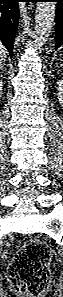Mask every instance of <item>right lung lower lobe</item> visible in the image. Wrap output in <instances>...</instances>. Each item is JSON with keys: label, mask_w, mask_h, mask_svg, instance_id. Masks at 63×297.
Returning <instances> with one entry per match:
<instances>
[{"label": "right lung lower lobe", "mask_w": 63, "mask_h": 297, "mask_svg": "<svg viewBox=\"0 0 63 297\" xmlns=\"http://www.w3.org/2000/svg\"><path fill=\"white\" fill-rule=\"evenodd\" d=\"M19 1L0 0V41L5 45L11 57L20 18Z\"/></svg>", "instance_id": "98d812e1"}]
</instances>
